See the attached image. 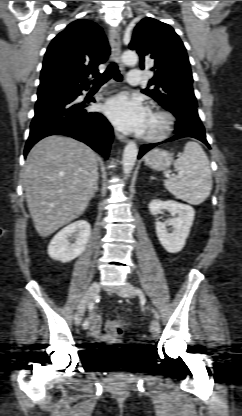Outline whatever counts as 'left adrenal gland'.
<instances>
[{
  "label": "left adrenal gland",
  "instance_id": "obj_1",
  "mask_svg": "<svg viewBox=\"0 0 242 416\" xmlns=\"http://www.w3.org/2000/svg\"><path fill=\"white\" fill-rule=\"evenodd\" d=\"M151 179H155V178L151 176Z\"/></svg>",
  "mask_w": 242,
  "mask_h": 416
}]
</instances>
